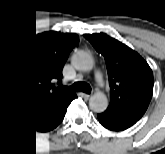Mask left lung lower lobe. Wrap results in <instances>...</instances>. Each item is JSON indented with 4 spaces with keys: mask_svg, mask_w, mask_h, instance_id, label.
Returning a JSON list of instances; mask_svg holds the SVG:
<instances>
[{
    "mask_svg": "<svg viewBox=\"0 0 165 154\" xmlns=\"http://www.w3.org/2000/svg\"><path fill=\"white\" fill-rule=\"evenodd\" d=\"M99 122L107 129L113 131L125 130L134 125L138 120L130 118H121L107 112H103L97 115Z\"/></svg>",
    "mask_w": 165,
    "mask_h": 154,
    "instance_id": "obj_1",
    "label": "left lung lower lobe"
}]
</instances>
